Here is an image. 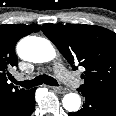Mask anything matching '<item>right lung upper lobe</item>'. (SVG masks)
<instances>
[{
	"label": "right lung upper lobe",
	"mask_w": 116,
	"mask_h": 116,
	"mask_svg": "<svg viewBox=\"0 0 116 116\" xmlns=\"http://www.w3.org/2000/svg\"><path fill=\"white\" fill-rule=\"evenodd\" d=\"M39 29V25H0V116H8L33 90L20 89L7 81L12 77L9 70L18 62L16 43Z\"/></svg>",
	"instance_id": "obj_1"
}]
</instances>
